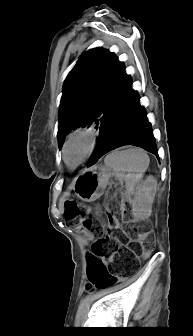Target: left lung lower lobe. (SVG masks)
<instances>
[{
    "label": "left lung lower lobe",
    "mask_w": 193,
    "mask_h": 336,
    "mask_svg": "<svg viewBox=\"0 0 193 336\" xmlns=\"http://www.w3.org/2000/svg\"><path fill=\"white\" fill-rule=\"evenodd\" d=\"M99 130V142L88 166L95 164L106 153L124 145L141 147L158 157L151 125L128 75Z\"/></svg>",
    "instance_id": "1"
}]
</instances>
